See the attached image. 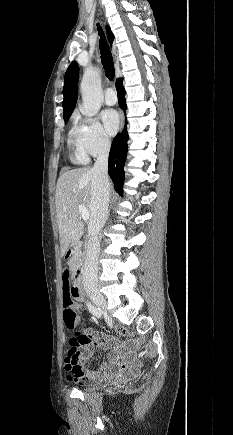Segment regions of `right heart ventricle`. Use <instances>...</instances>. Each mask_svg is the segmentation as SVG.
<instances>
[{"label":"right heart ventricle","instance_id":"e07e8e85","mask_svg":"<svg viewBox=\"0 0 233 435\" xmlns=\"http://www.w3.org/2000/svg\"><path fill=\"white\" fill-rule=\"evenodd\" d=\"M83 141L84 134L82 125L75 119L69 131V143L72 147L71 159L79 164H86L88 162L87 154L83 148Z\"/></svg>","mask_w":233,"mask_h":435}]
</instances>
